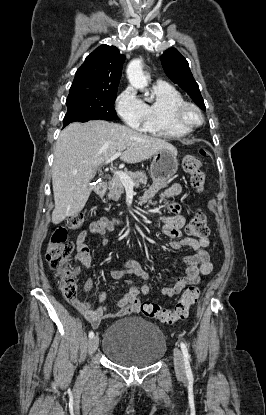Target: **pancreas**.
<instances>
[{
	"label": "pancreas",
	"instance_id": "pancreas-1",
	"mask_svg": "<svg viewBox=\"0 0 266 415\" xmlns=\"http://www.w3.org/2000/svg\"><path fill=\"white\" fill-rule=\"evenodd\" d=\"M130 179L135 183V186H139L140 184H147V176L145 172L137 171V172H131L126 171L125 172ZM108 193L107 197L112 200H118L120 199L121 195L124 193V185L121 182L120 178L117 176H114L109 182H108Z\"/></svg>",
	"mask_w": 266,
	"mask_h": 415
}]
</instances>
